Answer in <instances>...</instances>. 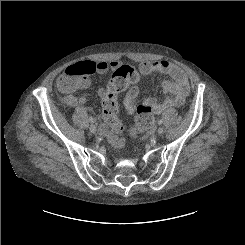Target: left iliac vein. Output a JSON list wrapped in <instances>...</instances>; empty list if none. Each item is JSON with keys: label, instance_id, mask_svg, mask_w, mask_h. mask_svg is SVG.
I'll return each mask as SVG.
<instances>
[{"label": "left iliac vein", "instance_id": "4c4485c4", "mask_svg": "<svg viewBox=\"0 0 245 245\" xmlns=\"http://www.w3.org/2000/svg\"><path fill=\"white\" fill-rule=\"evenodd\" d=\"M157 133L159 135L163 134L164 133V128L163 127H159L158 130H157Z\"/></svg>", "mask_w": 245, "mask_h": 245}]
</instances>
